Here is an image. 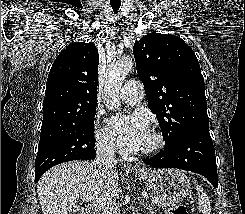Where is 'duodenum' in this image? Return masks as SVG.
Instances as JSON below:
<instances>
[{
    "mask_svg": "<svg viewBox=\"0 0 245 214\" xmlns=\"http://www.w3.org/2000/svg\"><path fill=\"white\" fill-rule=\"evenodd\" d=\"M96 211H97L96 207L90 206L83 211V214H96Z\"/></svg>",
    "mask_w": 245,
    "mask_h": 214,
    "instance_id": "410a0bca",
    "label": "duodenum"
}]
</instances>
